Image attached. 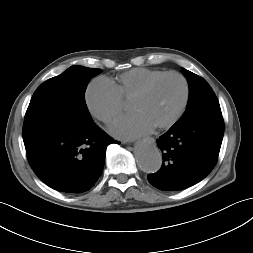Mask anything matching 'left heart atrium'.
<instances>
[{"mask_svg": "<svg viewBox=\"0 0 253 253\" xmlns=\"http://www.w3.org/2000/svg\"><path fill=\"white\" fill-rule=\"evenodd\" d=\"M154 127L145 116L133 113L118 119L110 130L117 137L132 139L151 132Z\"/></svg>", "mask_w": 253, "mask_h": 253, "instance_id": "obj_1", "label": "left heart atrium"}]
</instances>
